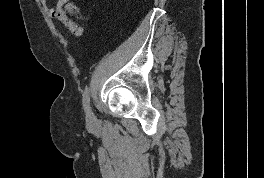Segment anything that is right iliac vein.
<instances>
[{
    "mask_svg": "<svg viewBox=\"0 0 264 178\" xmlns=\"http://www.w3.org/2000/svg\"><path fill=\"white\" fill-rule=\"evenodd\" d=\"M87 121L90 125L94 124V121H95L94 114L90 109L87 112Z\"/></svg>",
    "mask_w": 264,
    "mask_h": 178,
    "instance_id": "obj_1",
    "label": "right iliac vein"
}]
</instances>
